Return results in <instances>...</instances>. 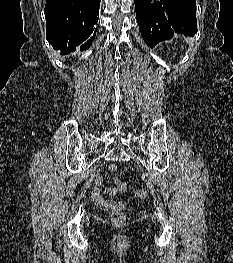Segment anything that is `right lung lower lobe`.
<instances>
[{
  "instance_id": "98d812e1",
  "label": "right lung lower lobe",
  "mask_w": 233,
  "mask_h": 263,
  "mask_svg": "<svg viewBox=\"0 0 233 263\" xmlns=\"http://www.w3.org/2000/svg\"><path fill=\"white\" fill-rule=\"evenodd\" d=\"M101 0H46V39L62 54L77 47L86 51L92 44Z\"/></svg>"
}]
</instances>
